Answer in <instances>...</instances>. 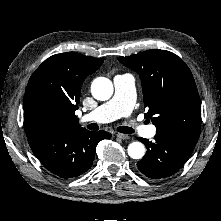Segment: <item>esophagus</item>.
<instances>
[{"label": "esophagus", "instance_id": "esophagus-1", "mask_svg": "<svg viewBox=\"0 0 221 221\" xmlns=\"http://www.w3.org/2000/svg\"><path fill=\"white\" fill-rule=\"evenodd\" d=\"M117 137L120 138V139H122V140H126V139H129V138H130L129 135L123 134V133H118V134H117Z\"/></svg>", "mask_w": 221, "mask_h": 221}]
</instances>
